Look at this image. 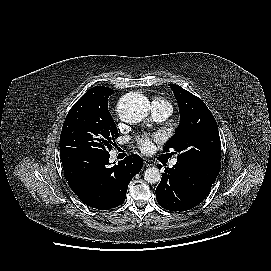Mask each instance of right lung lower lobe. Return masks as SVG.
<instances>
[{
	"label": "right lung lower lobe",
	"mask_w": 271,
	"mask_h": 271,
	"mask_svg": "<svg viewBox=\"0 0 271 271\" xmlns=\"http://www.w3.org/2000/svg\"><path fill=\"white\" fill-rule=\"evenodd\" d=\"M109 153L74 147L60 150L64 175L72 191L89 207L108 210L125 201L128 184L143 166L134 154L109 167Z\"/></svg>",
	"instance_id": "98d812e1"
}]
</instances>
